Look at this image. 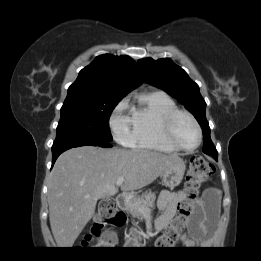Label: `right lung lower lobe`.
I'll use <instances>...</instances> for the list:
<instances>
[{
	"label": "right lung lower lobe",
	"instance_id": "98d812e1",
	"mask_svg": "<svg viewBox=\"0 0 261 261\" xmlns=\"http://www.w3.org/2000/svg\"><path fill=\"white\" fill-rule=\"evenodd\" d=\"M85 145L100 146L103 148L112 147V145L108 141L94 138H79L54 143L52 146V166L54 165L58 156L64 151L73 147H80Z\"/></svg>",
	"mask_w": 261,
	"mask_h": 261
}]
</instances>
